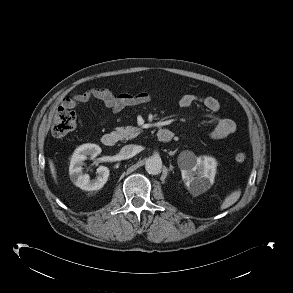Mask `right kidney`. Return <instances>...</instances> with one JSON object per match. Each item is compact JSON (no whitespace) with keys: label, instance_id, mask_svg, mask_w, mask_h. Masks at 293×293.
Instances as JSON below:
<instances>
[{"label":"right kidney","instance_id":"obj_1","mask_svg":"<svg viewBox=\"0 0 293 293\" xmlns=\"http://www.w3.org/2000/svg\"><path fill=\"white\" fill-rule=\"evenodd\" d=\"M101 153V148L96 144H84L78 147L72 155L69 175L71 181L82 190L94 191L101 189L108 180L110 171L105 166L97 168L98 176L96 179L90 180L88 174L83 173L84 161L90 156L95 158Z\"/></svg>","mask_w":293,"mask_h":293}]
</instances>
